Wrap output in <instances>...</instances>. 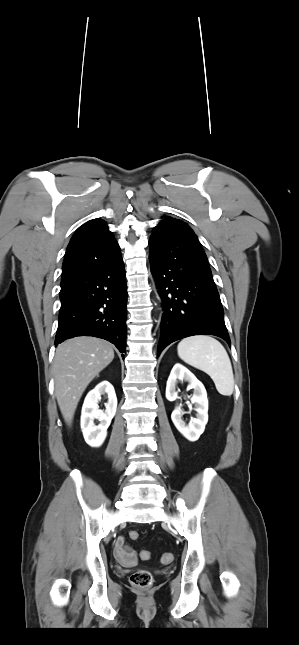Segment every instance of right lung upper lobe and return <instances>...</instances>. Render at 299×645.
Returning a JSON list of instances; mask_svg holds the SVG:
<instances>
[{
  "instance_id": "cb5924a9",
  "label": "right lung upper lobe",
  "mask_w": 299,
  "mask_h": 645,
  "mask_svg": "<svg viewBox=\"0 0 299 645\" xmlns=\"http://www.w3.org/2000/svg\"><path fill=\"white\" fill-rule=\"evenodd\" d=\"M120 255V247L104 221L93 219L86 222L78 228L67 247L61 287L92 268L114 261Z\"/></svg>"
}]
</instances>
